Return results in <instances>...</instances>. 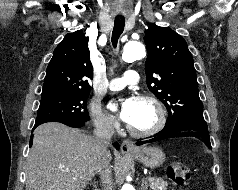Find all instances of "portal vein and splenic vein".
Segmentation results:
<instances>
[{"label":"portal vein and splenic vein","mask_w":238,"mask_h":190,"mask_svg":"<svg viewBox=\"0 0 238 190\" xmlns=\"http://www.w3.org/2000/svg\"><path fill=\"white\" fill-rule=\"evenodd\" d=\"M152 180H153V178H151V177L148 178V181H149V182L152 181Z\"/></svg>","instance_id":"18ae733b"}]
</instances>
